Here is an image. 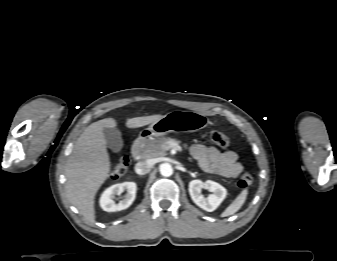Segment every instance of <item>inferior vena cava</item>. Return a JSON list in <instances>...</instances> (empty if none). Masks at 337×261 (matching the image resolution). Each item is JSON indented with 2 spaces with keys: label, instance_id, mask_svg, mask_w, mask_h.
<instances>
[{
  "label": "inferior vena cava",
  "instance_id": "inferior-vena-cava-1",
  "mask_svg": "<svg viewBox=\"0 0 337 261\" xmlns=\"http://www.w3.org/2000/svg\"><path fill=\"white\" fill-rule=\"evenodd\" d=\"M153 167V162L150 160H144L136 163L135 172L139 175H144L150 172Z\"/></svg>",
  "mask_w": 337,
  "mask_h": 261
}]
</instances>
